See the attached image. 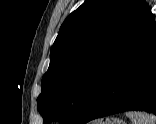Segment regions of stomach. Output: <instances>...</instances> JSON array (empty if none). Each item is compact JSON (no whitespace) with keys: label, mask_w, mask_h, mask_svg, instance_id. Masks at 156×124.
Masks as SVG:
<instances>
[{"label":"stomach","mask_w":156,"mask_h":124,"mask_svg":"<svg viewBox=\"0 0 156 124\" xmlns=\"http://www.w3.org/2000/svg\"><path fill=\"white\" fill-rule=\"evenodd\" d=\"M107 124H126L124 121L115 119L113 121H108Z\"/></svg>","instance_id":"obj_1"}]
</instances>
